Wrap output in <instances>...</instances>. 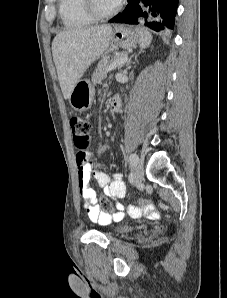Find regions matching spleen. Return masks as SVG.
Returning <instances> with one entry per match:
<instances>
[{"label": "spleen", "instance_id": "3e777b00", "mask_svg": "<svg viewBox=\"0 0 227 298\" xmlns=\"http://www.w3.org/2000/svg\"><path fill=\"white\" fill-rule=\"evenodd\" d=\"M136 30L140 35L139 44L141 49L148 47L152 41L151 33L144 28H137Z\"/></svg>", "mask_w": 227, "mask_h": 298}]
</instances>
